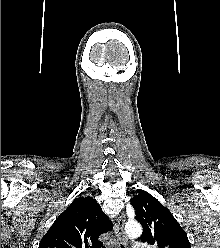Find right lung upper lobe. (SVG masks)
<instances>
[{
	"label": "right lung upper lobe",
	"mask_w": 220,
	"mask_h": 248,
	"mask_svg": "<svg viewBox=\"0 0 220 248\" xmlns=\"http://www.w3.org/2000/svg\"><path fill=\"white\" fill-rule=\"evenodd\" d=\"M111 229L109 218L96 200L77 198L55 220L39 248H102L98 238Z\"/></svg>",
	"instance_id": "cb5924a9"
}]
</instances>
